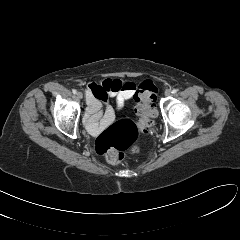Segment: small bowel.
Wrapping results in <instances>:
<instances>
[{
    "mask_svg": "<svg viewBox=\"0 0 240 240\" xmlns=\"http://www.w3.org/2000/svg\"><path fill=\"white\" fill-rule=\"evenodd\" d=\"M136 86L132 82H122L119 79H105L91 82L86 88L87 109L84 123L91 134L98 133L114 118V109L109 105V97L116 98L118 107H122L133 97Z\"/></svg>",
    "mask_w": 240,
    "mask_h": 240,
    "instance_id": "small-bowel-1",
    "label": "small bowel"
}]
</instances>
